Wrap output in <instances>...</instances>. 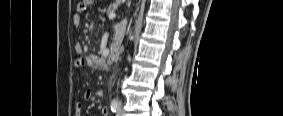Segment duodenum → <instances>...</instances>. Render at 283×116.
Wrapping results in <instances>:
<instances>
[{"mask_svg": "<svg viewBox=\"0 0 283 116\" xmlns=\"http://www.w3.org/2000/svg\"><path fill=\"white\" fill-rule=\"evenodd\" d=\"M109 58L113 62H117L120 58V50L119 48H113L109 54Z\"/></svg>", "mask_w": 283, "mask_h": 116, "instance_id": "410a0bca", "label": "duodenum"}]
</instances>
